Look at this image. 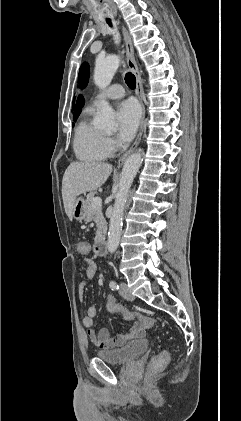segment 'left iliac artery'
Instances as JSON below:
<instances>
[{
	"label": "left iliac artery",
	"instance_id": "44dca946",
	"mask_svg": "<svg viewBox=\"0 0 241 421\" xmlns=\"http://www.w3.org/2000/svg\"><path fill=\"white\" fill-rule=\"evenodd\" d=\"M109 286H110V288H111L112 290L119 289V286H118V284H117L115 281H111V282L109 283Z\"/></svg>",
	"mask_w": 241,
	"mask_h": 421
}]
</instances>
